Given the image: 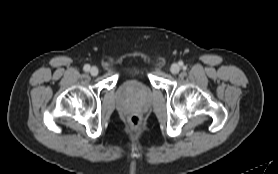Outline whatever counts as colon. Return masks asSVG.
Masks as SVG:
<instances>
[{
    "label": "colon",
    "mask_w": 278,
    "mask_h": 174,
    "mask_svg": "<svg viewBox=\"0 0 278 174\" xmlns=\"http://www.w3.org/2000/svg\"><path fill=\"white\" fill-rule=\"evenodd\" d=\"M129 124L133 128H137L140 125V118L138 116H132L129 118Z\"/></svg>",
    "instance_id": "1"
}]
</instances>
